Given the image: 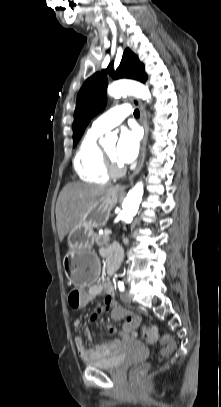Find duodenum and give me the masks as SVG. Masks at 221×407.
Instances as JSON below:
<instances>
[{
	"mask_svg": "<svg viewBox=\"0 0 221 407\" xmlns=\"http://www.w3.org/2000/svg\"><path fill=\"white\" fill-rule=\"evenodd\" d=\"M120 259H121V253L117 249L114 250L109 255V257L107 259V264H106V270H107L108 274H112L115 271Z\"/></svg>",
	"mask_w": 221,
	"mask_h": 407,
	"instance_id": "410a0bca",
	"label": "duodenum"
}]
</instances>
